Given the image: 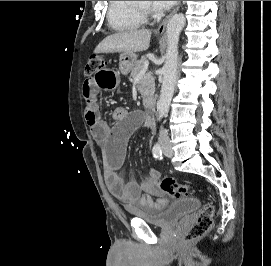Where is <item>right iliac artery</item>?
Here are the masks:
<instances>
[{
    "instance_id": "right-iliac-artery-1",
    "label": "right iliac artery",
    "mask_w": 271,
    "mask_h": 266,
    "mask_svg": "<svg viewBox=\"0 0 271 266\" xmlns=\"http://www.w3.org/2000/svg\"><path fill=\"white\" fill-rule=\"evenodd\" d=\"M152 152L155 158L162 159V149L159 144L154 145Z\"/></svg>"
}]
</instances>
